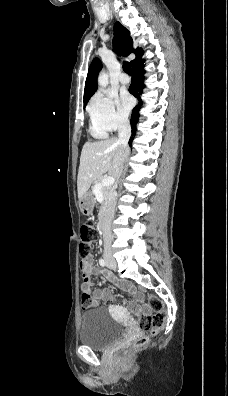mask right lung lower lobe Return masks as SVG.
Listing matches in <instances>:
<instances>
[{
    "label": "right lung lower lobe",
    "mask_w": 228,
    "mask_h": 396,
    "mask_svg": "<svg viewBox=\"0 0 228 396\" xmlns=\"http://www.w3.org/2000/svg\"><path fill=\"white\" fill-rule=\"evenodd\" d=\"M144 60L140 59L134 66H132V83L129 87V92L133 94L136 98H140V94L142 89L144 88L143 80H144V69H143ZM141 108V103L136 106L132 111L131 116V127H132V136L135 135V128L139 118V110ZM132 144V138L129 140V145Z\"/></svg>",
    "instance_id": "obj_1"
}]
</instances>
